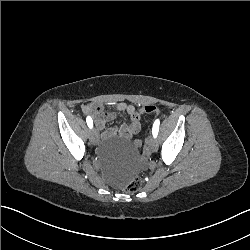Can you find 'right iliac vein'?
Instances as JSON below:
<instances>
[{"mask_svg":"<svg viewBox=\"0 0 250 250\" xmlns=\"http://www.w3.org/2000/svg\"><path fill=\"white\" fill-rule=\"evenodd\" d=\"M89 138H90V141L93 145H96L97 142H98V133L95 129L93 130H90L89 132Z\"/></svg>","mask_w":250,"mask_h":250,"instance_id":"1","label":"right iliac vein"}]
</instances>
